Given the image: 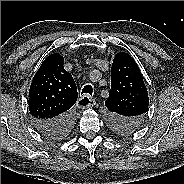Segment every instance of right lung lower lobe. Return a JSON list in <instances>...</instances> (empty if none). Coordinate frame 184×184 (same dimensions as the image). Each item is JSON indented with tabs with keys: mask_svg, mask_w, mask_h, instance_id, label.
Instances as JSON below:
<instances>
[{
	"mask_svg": "<svg viewBox=\"0 0 184 184\" xmlns=\"http://www.w3.org/2000/svg\"><path fill=\"white\" fill-rule=\"evenodd\" d=\"M71 124H73V118L71 112L65 114L59 118L43 121L34 120V125L36 129L44 134L45 136H50L64 131Z\"/></svg>",
	"mask_w": 184,
	"mask_h": 184,
	"instance_id": "98d812e1",
	"label": "right lung lower lobe"
}]
</instances>
